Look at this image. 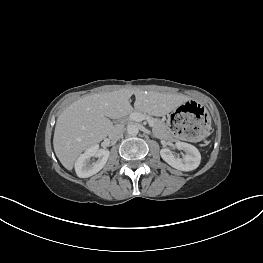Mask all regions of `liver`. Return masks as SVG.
<instances>
[{
  "label": "liver",
  "mask_w": 263,
  "mask_h": 263,
  "mask_svg": "<svg viewBox=\"0 0 263 263\" xmlns=\"http://www.w3.org/2000/svg\"><path fill=\"white\" fill-rule=\"evenodd\" d=\"M132 95H135L134 108L153 116L165 115L188 100L181 94L125 88L81 97L59 115L55 126L54 151L66 169L72 170L83 151L109 135L114 127L109 118H118L132 111L129 102Z\"/></svg>",
  "instance_id": "6515ba94"
}]
</instances>
